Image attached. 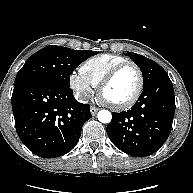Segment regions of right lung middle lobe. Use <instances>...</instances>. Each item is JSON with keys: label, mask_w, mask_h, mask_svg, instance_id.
I'll return each mask as SVG.
<instances>
[{"label": "right lung middle lobe", "mask_w": 193, "mask_h": 193, "mask_svg": "<svg viewBox=\"0 0 193 193\" xmlns=\"http://www.w3.org/2000/svg\"><path fill=\"white\" fill-rule=\"evenodd\" d=\"M96 51L74 50L61 46H47L27 59L17 73L14 86L30 80H47L69 86L73 70Z\"/></svg>", "instance_id": "obj_1"}]
</instances>
